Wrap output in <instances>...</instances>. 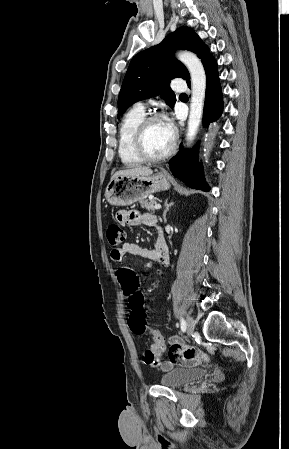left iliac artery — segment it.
<instances>
[{
	"label": "left iliac artery",
	"mask_w": 289,
	"mask_h": 449,
	"mask_svg": "<svg viewBox=\"0 0 289 449\" xmlns=\"http://www.w3.org/2000/svg\"><path fill=\"white\" fill-rule=\"evenodd\" d=\"M180 322H181V330L183 332H185L186 331V322L184 319H181Z\"/></svg>",
	"instance_id": "1"
}]
</instances>
